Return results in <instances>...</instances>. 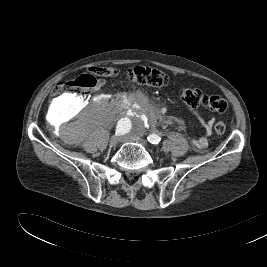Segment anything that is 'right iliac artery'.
<instances>
[{
  "instance_id": "1",
  "label": "right iliac artery",
  "mask_w": 267,
  "mask_h": 267,
  "mask_svg": "<svg viewBox=\"0 0 267 267\" xmlns=\"http://www.w3.org/2000/svg\"><path fill=\"white\" fill-rule=\"evenodd\" d=\"M129 130V121L128 120H122L118 123L116 127V135H124Z\"/></svg>"
}]
</instances>
